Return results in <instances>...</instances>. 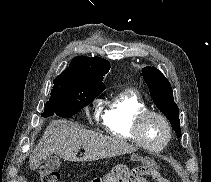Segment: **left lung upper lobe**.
<instances>
[{
  "instance_id": "1",
  "label": "left lung upper lobe",
  "mask_w": 211,
  "mask_h": 182,
  "mask_svg": "<svg viewBox=\"0 0 211 182\" xmlns=\"http://www.w3.org/2000/svg\"><path fill=\"white\" fill-rule=\"evenodd\" d=\"M143 78L150 90V95L158 109L168 118L172 128L180 137L179 109L173 99L172 87L165 76L155 67L142 69Z\"/></svg>"
}]
</instances>
